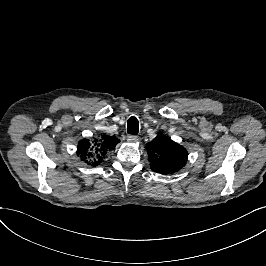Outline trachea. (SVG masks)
Listing matches in <instances>:
<instances>
[{
  "label": "trachea",
  "mask_w": 266,
  "mask_h": 266,
  "mask_svg": "<svg viewBox=\"0 0 266 266\" xmlns=\"http://www.w3.org/2000/svg\"><path fill=\"white\" fill-rule=\"evenodd\" d=\"M127 130L129 134L137 135L139 131V122L135 117L129 118L127 122Z\"/></svg>",
  "instance_id": "obj_1"
}]
</instances>
